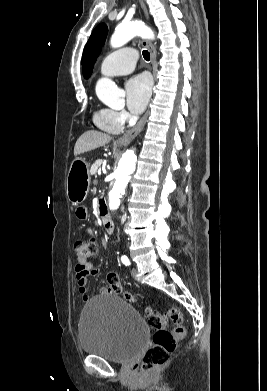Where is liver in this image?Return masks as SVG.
I'll return each instance as SVG.
<instances>
[{
	"instance_id": "1",
	"label": "liver",
	"mask_w": 267,
	"mask_h": 391,
	"mask_svg": "<svg viewBox=\"0 0 267 391\" xmlns=\"http://www.w3.org/2000/svg\"><path fill=\"white\" fill-rule=\"evenodd\" d=\"M112 137L103 132L96 130H90L83 133L75 143L74 155L78 156L85 152L95 150L99 147H102L108 144L111 141Z\"/></svg>"
}]
</instances>
